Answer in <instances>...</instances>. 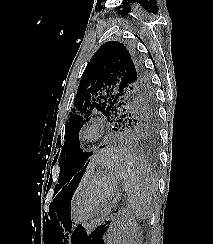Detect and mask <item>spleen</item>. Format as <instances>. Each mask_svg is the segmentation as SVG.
<instances>
[{
    "label": "spleen",
    "mask_w": 213,
    "mask_h": 244,
    "mask_svg": "<svg viewBox=\"0 0 213 244\" xmlns=\"http://www.w3.org/2000/svg\"><path fill=\"white\" fill-rule=\"evenodd\" d=\"M107 163L116 177L123 181L128 210L140 220L149 218L154 185L144 159L128 150L113 149Z\"/></svg>",
    "instance_id": "spleen-1"
}]
</instances>
